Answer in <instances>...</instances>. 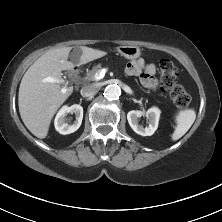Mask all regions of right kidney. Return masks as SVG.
<instances>
[{"instance_id":"right-kidney-1","label":"right kidney","mask_w":222,"mask_h":222,"mask_svg":"<svg viewBox=\"0 0 222 222\" xmlns=\"http://www.w3.org/2000/svg\"><path fill=\"white\" fill-rule=\"evenodd\" d=\"M68 113H74L76 116V121L72 125H69L66 122V116ZM83 119V107L78 104H74L70 107L68 106H63L57 113L55 120H54V125L55 129L63 135L73 133L79 129L81 126Z\"/></svg>"}]
</instances>
